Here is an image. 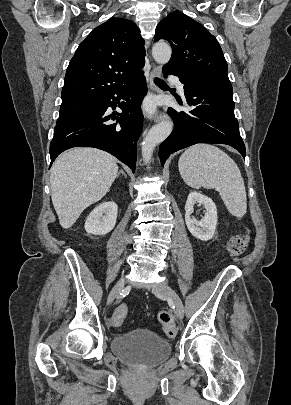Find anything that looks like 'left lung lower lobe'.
<instances>
[{"mask_svg":"<svg viewBox=\"0 0 291 405\" xmlns=\"http://www.w3.org/2000/svg\"><path fill=\"white\" fill-rule=\"evenodd\" d=\"M163 73L179 77L184 84V94L190 109L184 112L168 108V114L175 121V128L160 145L162 166L170 154L197 143L227 144L245 158V145L234 115L231 83L186 78L168 68H163Z\"/></svg>","mask_w":291,"mask_h":405,"instance_id":"0a47b994","label":"left lung lower lobe"}]
</instances>
